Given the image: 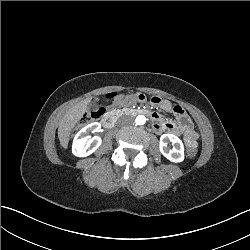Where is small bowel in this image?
<instances>
[{"label":"small bowel","mask_w":250,"mask_h":250,"mask_svg":"<svg viewBox=\"0 0 250 250\" xmlns=\"http://www.w3.org/2000/svg\"><path fill=\"white\" fill-rule=\"evenodd\" d=\"M136 99L134 98V95H127V96H122V98L118 101H116V104L118 105H127V104H130L132 102H134ZM160 103V106L164 109V110H171L172 109V104L167 101V100H162L159 102ZM187 118V117H186ZM188 120V123H187V126L184 127V133L185 135L188 137V138H191L193 140L196 141L197 139V134L192 130V127H191V123L189 121V119L187 118ZM178 127L175 126L174 124H159V123H156L154 125V129L156 131H162L164 129H177Z\"/></svg>","instance_id":"1"}]
</instances>
